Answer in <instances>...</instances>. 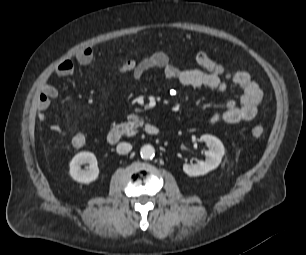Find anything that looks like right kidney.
<instances>
[{"instance_id": "ca27d5eb", "label": "right kidney", "mask_w": 306, "mask_h": 255, "mask_svg": "<svg viewBox=\"0 0 306 255\" xmlns=\"http://www.w3.org/2000/svg\"><path fill=\"white\" fill-rule=\"evenodd\" d=\"M88 163L86 169H81V165ZM70 176L79 183H90L95 181L99 175L96 156L91 152H80L76 154L70 162Z\"/></svg>"}]
</instances>
